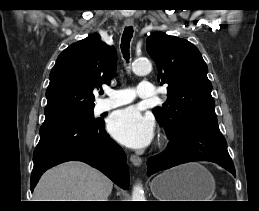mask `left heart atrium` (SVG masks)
I'll list each match as a JSON object with an SVG mask.
<instances>
[{
  "label": "left heart atrium",
  "mask_w": 259,
  "mask_h": 211,
  "mask_svg": "<svg viewBox=\"0 0 259 211\" xmlns=\"http://www.w3.org/2000/svg\"><path fill=\"white\" fill-rule=\"evenodd\" d=\"M108 130L121 144L138 149L147 146L152 141L154 122L136 107H128L110 116Z\"/></svg>",
  "instance_id": "obj_1"
}]
</instances>
